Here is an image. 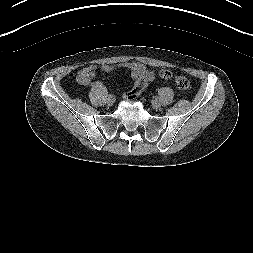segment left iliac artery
I'll return each instance as SVG.
<instances>
[{
	"mask_svg": "<svg viewBox=\"0 0 253 253\" xmlns=\"http://www.w3.org/2000/svg\"><path fill=\"white\" fill-rule=\"evenodd\" d=\"M151 98L155 101V102H160L161 101V98L158 97V95L156 93H153L151 95Z\"/></svg>",
	"mask_w": 253,
	"mask_h": 253,
	"instance_id": "left-iliac-artery-1",
	"label": "left iliac artery"
}]
</instances>
